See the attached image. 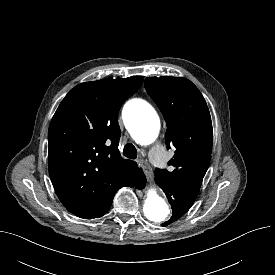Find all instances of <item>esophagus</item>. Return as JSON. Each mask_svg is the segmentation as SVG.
Listing matches in <instances>:
<instances>
[{"label": "esophagus", "mask_w": 275, "mask_h": 275, "mask_svg": "<svg viewBox=\"0 0 275 275\" xmlns=\"http://www.w3.org/2000/svg\"><path fill=\"white\" fill-rule=\"evenodd\" d=\"M138 164L143 168L144 173L146 174L147 177L151 176V168L146 160L140 159L137 161Z\"/></svg>", "instance_id": "34e87169"}]
</instances>
